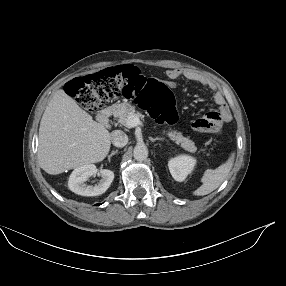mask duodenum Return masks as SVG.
<instances>
[{"mask_svg": "<svg viewBox=\"0 0 286 286\" xmlns=\"http://www.w3.org/2000/svg\"><path fill=\"white\" fill-rule=\"evenodd\" d=\"M110 116H111V108L106 107L102 109L98 115L99 122L105 127H110Z\"/></svg>", "mask_w": 286, "mask_h": 286, "instance_id": "duodenum-1", "label": "duodenum"}]
</instances>
